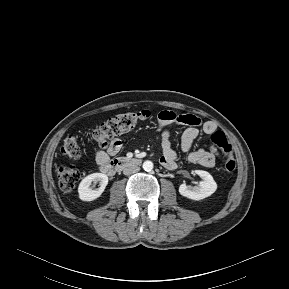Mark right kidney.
<instances>
[{
    "instance_id": "obj_1",
    "label": "right kidney",
    "mask_w": 289,
    "mask_h": 289,
    "mask_svg": "<svg viewBox=\"0 0 289 289\" xmlns=\"http://www.w3.org/2000/svg\"><path fill=\"white\" fill-rule=\"evenodd\" d=\"M99 182V188L94 189L91 183ZM108 184V177L102 173H93L86 176L79 184L78 193L82 201H93L97 199L105 190Z\"/></svg>"
}]
</instances>
